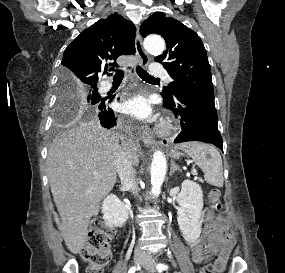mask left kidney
<instances>
[{
	"mask_svg": "<svg viewBox=\"0 0 285 273\" xmlns=\"http://www.w3.org/2000/svg\"><path fill=\"white\" fill-rule=\"evenodd\" d=\"M177 202L179 228L188 243H195L201 234L202 226L203 192L201 187L193 181H183Z\"/></svg>",
	"mask_w": 285,
	"mask_h": 273,
	"instance_id": "obj_1",
	"label": "left kidney"
}]
</instances>
